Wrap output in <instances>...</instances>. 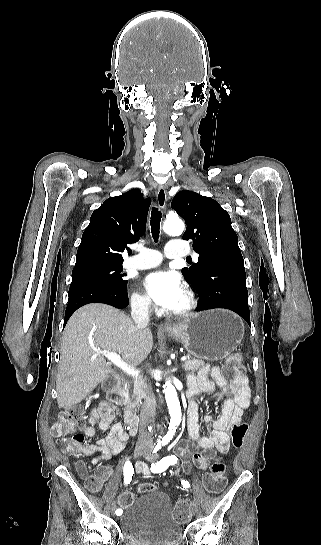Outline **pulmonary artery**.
Instances as JSON below:
<instances>
[{
  "label": "pulmonary artery",
  "mask_w": 321,
  "mask_h": 545,
  "mask_svg": "<svg viewBox=\"0 0 321 545\" xmlns=\"http://www.w3.org/2000/svg\"><path fill=\"white\" fill-rule=\"evenodd\" d=\"M167 248L169 250L170 261H192L194 253L192 250H185L186 245L182 241H169ZM142 259H128L124 262L125 268L135 270H145L157 266L161 263L162 254L157 250L146 248L141 254Z\"/></svg>",
  "instance_id": "1"
}]
</instances>
